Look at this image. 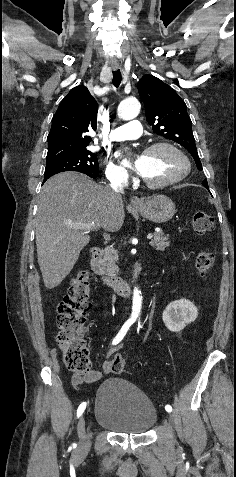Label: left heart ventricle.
Wrapping results in <instances>:
<instances>
[{
    "mask_svg": "<svg viewBox=\"0 0 236 477\" xmlns=\"http://www.w3.org/2000/svg\"><path fill=\"white\" fill-rule=\"evenodd\" d=\"M183 169L184 161L169 148H160L141 156L140 175L151 182L171 179Z\"/></svg>",
    "mask_w": 236,
    "mask_h": 477,
    "instance_id": "1",
    "label": "left heart ventricle"
}]
</instances>
